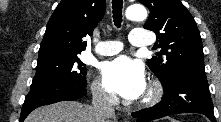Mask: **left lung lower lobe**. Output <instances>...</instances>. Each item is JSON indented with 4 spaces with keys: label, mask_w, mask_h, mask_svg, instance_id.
<instances>
[{
    "label": "left lung lower lobe",
    "mask_w": 221,
    "mask_h": 122,
    "mask_svg": "<svg viewBox=\"0 0 221 122\" xmlns=\"http://www.w3.org/2000/svg\"><path fill=\"white\" fill-rule=\"evenodd\" d=\"M161 102L151 108L132 113L137 122H149L178 113H200L216 122L206 76L182 75L163 85Z\"/></svg>",
    "instance_id": "left-lung-lower-lobe-1"
}]
</instances>
